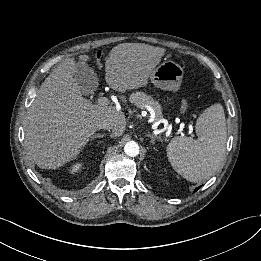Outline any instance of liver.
Instances as JSON below:
<instances>
[{
    "instance_id": "1",
    "label": "liver",
    "mask_w": 261,
    "mask_h": 261,
    "mask_svg": "<svg viewBox=\"0 0 261 261\" xmlns=\"http://www.w3.org/2000/svg\"><path fill=\"white\" fill-rule=\"evenodd\" d=\"M166 50L141 43L114 47L105 62V80L114 90L126 92L145 86ZM89 56L81 55L86 63ZM77 63L69 58L58 65L40 86L25 125L27 154L42 169H57L77 158L100 124L113 126L121 136L126 118L113 106L92 104L82 97L75 79Z\"/></svg>"
}]
</instances>
